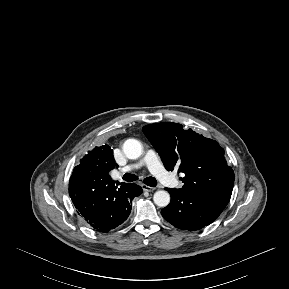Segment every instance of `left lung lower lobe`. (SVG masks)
Wrapping results in <instances>:
<instances>
[{
	"label": "left lung lower lobe",
	"mask_w": 289,
	"mask_h": 289,
	"mask_svg": "<svg viewBox=\"0 0 289 289\" xmlns=\"http://www.w3.org/2000/svg\"><path fill=\"white\" fill-rule=\"evenodd\" d=\"M165 189L171 195V202L161 214L176 228L199 230L215 221L224 209L191 193Z\"/></svg>",
	"instance_id": "obj_1"
}]
</instances>
